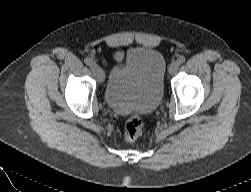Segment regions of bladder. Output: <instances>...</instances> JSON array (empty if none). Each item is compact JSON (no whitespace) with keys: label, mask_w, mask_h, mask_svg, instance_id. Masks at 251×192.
<instances>
[{"label":"bladder","mask_w":251,"mask_h":192,"mask_svg":"<svg viewBox=\"0 0 251 192\" xmlns=\"http://www.w3.org/2000/svg\"><path fill=\"white\" fill-rule=\"evenodd\" d=\"M166 61L156 49L130 48L125 63L114 66L107 78L104 99L117 114L151 113L162 102Z\"/></svg>","instance_id":"bladder-1"}]
</instances>
